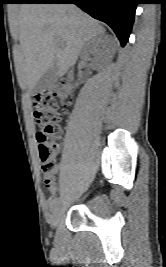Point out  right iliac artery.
Masks as SVG:
<instances>
[{
    "label": "right iliac artery",
    "mask_w": 166,
    "mask_h": 267,
    "mask_svg": "<svg viewBox=\"0 0 166 267\" xmlns=\"http://www.w3.org/2000/svg\"><path fill=\"white\" fill-rule=\"evenodd\" d=\"M57 204H58V198H54L53 200H51L50 201V210L54 211Z\"/></svg>",
    "instance_id": "1"
}]
</instances>
